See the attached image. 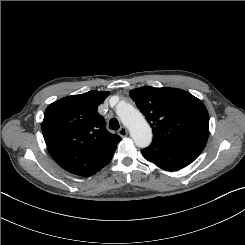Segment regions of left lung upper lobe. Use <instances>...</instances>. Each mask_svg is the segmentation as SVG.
I'll return each mask as SVG.
<instances>
[{
	"label": "left lung upper lobe",
	"mask_w": 245,
	"mask_h": 245,
	"mask_svg": "<svg viewBox=\"0 0 245 245\" xmlns=\"http://www.w3.org/2000/svg\"><path fill=\"white\" fill-rule=\"evenodd\" d=\"M129 94L151 125L153 140L202 152L209 136V116L198 98L170 87L146 86Z\"/></svg>",
	"instance_id": "left-lung-upper-lobe-1"
}]
</instances>
